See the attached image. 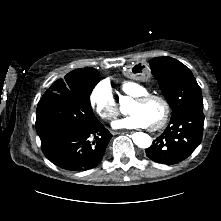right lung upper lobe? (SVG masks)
<instances>
[{"instance_id": "1", "label": "right lung upper lobe", "mask_w": 221, "mask_h": 221, "mask_svg": "<svg viewBox=\"0 0 221 221\" xmlns=\"http://www.w3.org/2000/svg\"><path fill=\"white\" fill-rule=\"evenodd\" d=\"M94 71H96L95 69L93 68H86V69H77V70H74L70 73H68L65 77V79H71L73 77H78V76H81V75H84V74H90V73H93Z\"/></svg>"}]
</instances>
